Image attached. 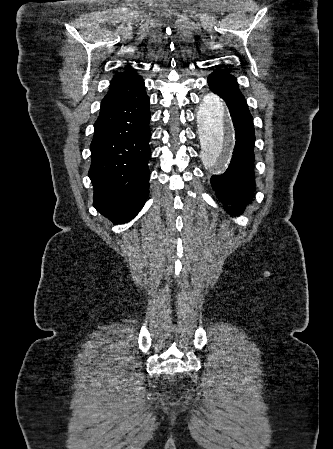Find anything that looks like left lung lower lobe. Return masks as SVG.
Instances as JSON below:
<instances>
[{"label":"left lung lower lobe","mask_w":333,"mask_h":449,"mask_svg":"<svg viewBox=\"0 0 333 449\" xmlns=\"http://www.w3.org/2000/svg\"><path fill=\"white\" fill-rule=\"evenodd\" d=\"M211 91L219 95L227 104L235 128V147L231 162L225 173L213 175L212 185L228 213L239 215L243 207L252 201L254 181V142L253 118L248 105L238 88L236 79L225 72L215 71L208 77Z\"/></svg>","instance_id":"0a47b994"}]
</instances>
